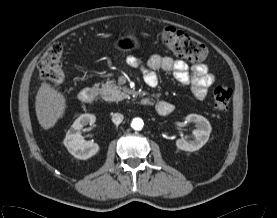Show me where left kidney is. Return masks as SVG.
<instances>
[{"mask_svg":"<svg viewBox=\"0 0 277 218\" xmlns=\"http://www.w3.org/2000/svg\"><path fill=\"white\" fill-rule=\"evenodd\" d=\"M187 123H194L196 129L192 131L193 140H186L185 138L178 139L176 146L180 150L193 152L199 150L209 139L212 127L209 121L198 114H189L185 117Z\"/></svg>","mask_w":277,"mask_h":218,"instance_id":"1","label":"left kidney"}]
</instances>
